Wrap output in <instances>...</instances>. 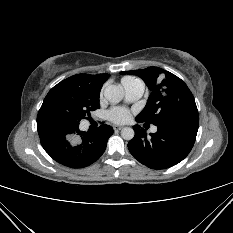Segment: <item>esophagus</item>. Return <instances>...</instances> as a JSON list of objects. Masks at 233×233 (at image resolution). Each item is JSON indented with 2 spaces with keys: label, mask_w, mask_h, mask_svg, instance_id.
<instances>
[{
  "label": "esophagus",
  "mask_w": 233,
  "mask_h": 233,
  "mask_svg": "<svg viewBox=\"0 0 233 233\" xmlns=\"http://www.w3.org/2000/svg\"><path fill=\"white\" fill-rule=\"evenodd\" d=\"M123 128H124L123 126H116V125L113 126V129H114L115 131H119V130H121V129H123Z\"/></svg>",
  "instance_id": "1"
}]
</instances>
